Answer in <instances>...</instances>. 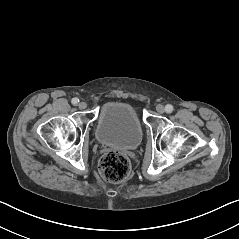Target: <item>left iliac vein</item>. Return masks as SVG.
<instances>
[{"label":"left iliac vein","mask_w":239,"mask_h":239,"mask_svg":"<svg viewBox=\"0 0 239 239\" xmlns=\"http://www.w3.org/2000/svg\"><path fill=\"white\" fill-rule=\"evenodd\" d=\"M156 110L158 113L163 114L165 112V107L161 104L157 105Z\"/></svg>","instance_id":"4c4485c4"}]
</instances>
